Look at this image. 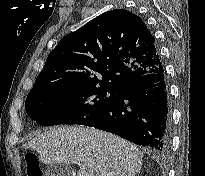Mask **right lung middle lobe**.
Wrapping results in <instances>:
<instances>
[{"instance_id":"right-lung-middle-lobe-1","label":"right lung middle lobe","mask_w":205,"mask_h":176,"mask_svg":"<svg viewBox=\"0 0 205 176\" xmlns=\"http://www.w3.org/2000/svg\"><path fill=\"white\" fill-rule=\"evenodd\" d=\"M108 86H70L29 94L25 110L42 126L85 125L95 119L118 93Z\"/></svg>"}]
</instances>
